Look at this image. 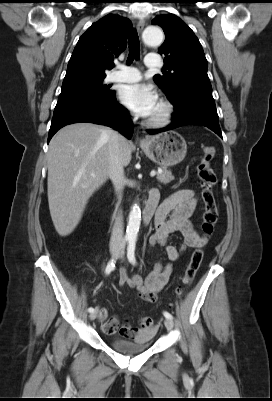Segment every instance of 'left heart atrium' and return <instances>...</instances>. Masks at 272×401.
<instances>
[{"mask_svg":"<svg viewBox=\"0 0 272 401\" xmlns=\"http://www.w3.org/2000/svg\"><path fill=\"white\" fill-rule=\"evenodd\" d=\"M120 102L140 117H150L158 106L155 89L148 84L135 83L124 85L119 91Z\"/></svg>","mask_w":272,"mask_h":401,"instance_id":"1","label":"left heart atrium"}]
</instances>
